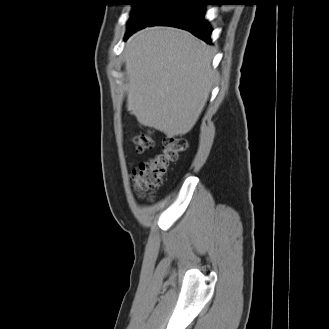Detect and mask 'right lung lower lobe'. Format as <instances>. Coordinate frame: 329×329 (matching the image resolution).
<instances>
[{
	"mask_svg": "<svg viewBox=\"0 0 329 329\" xmlns=\"http://www.w3.org/2000/svg\"><path fill=\"white\" fill-rule=\"evenodd\" d=\"M200 0H179L167 6L153 21L146 26L164 25L187 30L198 38L211 43V28L204 18L203 4ZM146 26L136 28L125 36L127 39L133 32Z\"/></svg>",
	"mask_w": 329,
	"mask_h": 329,
	"instance_id": "right-lung-lower-lobe-1",
	"label": "right lung lower lobe"
}]
</instances>
